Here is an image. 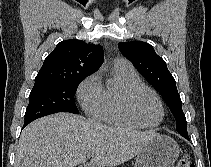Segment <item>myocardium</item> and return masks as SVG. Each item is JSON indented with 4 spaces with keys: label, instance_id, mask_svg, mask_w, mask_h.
Masks as SVG:
<instances>
[{
    "label": "myocardium",
    "instance_id": "f54148a6",
    "mask_svg": "<svg viewBox=\"0 0 211 167\" xmlns=\"http://www.w3.org/2000/svg\"><path fill=\"white\" fill-rule=\"evenodd\" d=\"M141 91H147L151 93L155 99L157 100L160 110H161V117L160 120L155 123V124H145L143 123L134 113L133 108H132V100L136 94H138ZM120 104L121 108L124 112V114L135 124H137L140 127L143 128H148V129H153L158 126H160L165 118V108L163 105V102L159 96V94L152 89L151 87L144 85V84H139L135 86H131L129 88H126L120 96Z\"/></svg>",
    "mask_w": 211,
    "mask_h": 167
}]
</instances>
